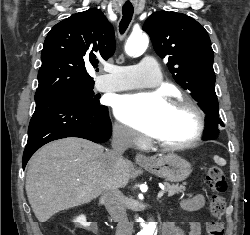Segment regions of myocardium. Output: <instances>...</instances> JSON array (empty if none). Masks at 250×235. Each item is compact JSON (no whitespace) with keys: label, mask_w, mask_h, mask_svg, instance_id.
Instances as JSON below:
<instances>
[{"label":"myocardium","mask_w":250,"mask_h":235,"mask_svg":"<svg viewBox=\"0 0 250 235\" xmlns=\"http://www.w3.org/2000/svg\"><path fill=\"white\" fill-rule=\"evenodd\" d=\"M169 106L175 107V108L189 109L193 113L196 119L195 132L193 136L185 142L166 143L153 137L152 138L153 143H155L161 149L167 150V151L183 150V149H188L197 145L201 141L205 132V127H206L205 114L203 110L201 109V107L193 99L189 97L176 98L170 102Z\"/></svg>","instance_id":"1"}]
</instances>
